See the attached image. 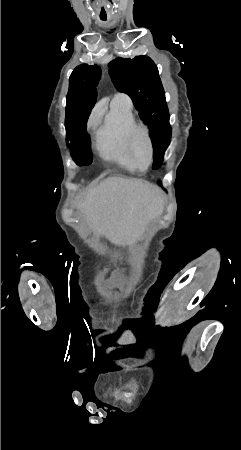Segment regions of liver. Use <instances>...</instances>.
<instances>
[{
    "label": "liver",
    "mask_w": 241,
    "mask_h": 450,
    "mask_svg": "<svg viewBox=\"0 0 241 450\" xmlns=\"http://www.w3.org/2000/svg\"><path fill=\"white\" fill-rule=\"evenodd\" d=\"M164 196L144 180L110 176L80 196L78 208L92 230L118 242L117 232L141 218H153L161 210Z\"/></svg>",
    "instance_id": "1"
}]
</instances>
